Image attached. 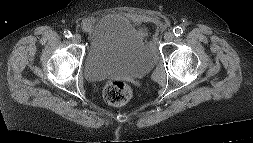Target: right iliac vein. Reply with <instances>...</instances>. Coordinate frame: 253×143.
Returning a JSON list of instances; mask_svg holds the SVG:
<instances>
[{"label": "right iliac vein", "instance_id": "63e3f726", "mask_svg": "<svg viewBox=\"0 0 253 143\" xmlns=\"http://www.w3.org/2000/svg\"><path fill=\"white\" fill-rule=\"evenodd\" d=\"M72 42L73 43H80L81 42V36L79 34H74L73 37H72Z\"/></svg>", "mask_w": 253, "mask_h": 143}]
</instances>
